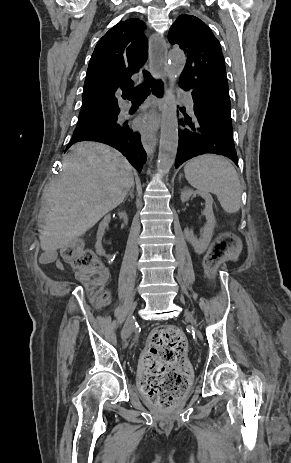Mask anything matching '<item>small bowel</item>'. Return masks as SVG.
<instances>
[{
  "instance_id": "obj_1",
  "label": "small bowel",
  "mask_w": 291,
  "mask_h": 463,
  "mask_svg": "<svg viewBox=\"0 0 291 463\" xmlns=\"http://www.w3.org/2000/svg\"><path fill=\"white\" fill-rule=\"evenodd\" d=\"M53 259H54V252L48 250V251H46V252L42 255L40 261H41L42 263H45V262H48V261L53 260ZM55 265H56V267H57L59 270H61V271H65V270H66V269H65V266H64V264H63V262H62L60 259H56V260H55Z\"/></svg>"
}]
</instances>
